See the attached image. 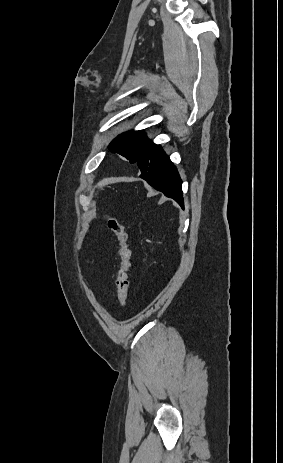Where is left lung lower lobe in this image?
Returning <instances> with one entry per match:
<instances>
[{
	"label": "left lung lower lobe",
	"mask_w": 283,
	"mask_h": 463,
	"mask_svg": "<svg viewBox=\"0 0 283 463\" xmlns=\"http://www.w3.org/2000/svg\"><path fill=\"white\" fill-rule=\"evenodd\" d=\"M137 165L142 172L141 178L184 206L179 174L159 145L152 143L138 159Z\"/></svg>",
	"instance_id": "left-lung-lower-lobe-1"
}]
</instances>
